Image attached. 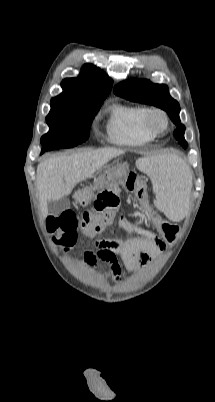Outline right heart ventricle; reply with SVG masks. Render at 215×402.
Instances as JSON below:
<instances>
[{
  "instance_id": "e07e8e85",
  "label": "right heart ventricle",
  "mask_w": 215,
  "mask_h": 402,
  "mask_svg": "<svg viewBox=\"0 0 215 402\" xmlns=\"http://www.w3.org/2000/svg\"><path fill=\"white\" fill-rule=\"evenodd\" d=\"M145 107L115 103L106 124L108 140L118 146L136 147L152 142L155 136L143 127Z\"/></svg>"
}]
</instances>
